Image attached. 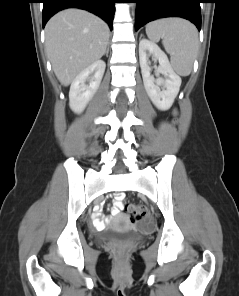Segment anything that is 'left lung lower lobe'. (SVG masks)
<instances>
[{"mask_svg": "<svg viewBox=\"0 0 239 296\" xmlns=\"http://www.w3.org/2000/svg\"><path fill=\"white\" fill-rule=\"evenodd\" d=\"M137 3L135 30L158 18L182 17L201 29V0H131Z\"/></svg>", "mask_w": 239, "mask_h": 296, "instance_id": "1", "label": "left lung lower lobe"}]
</instances>
